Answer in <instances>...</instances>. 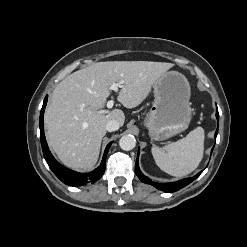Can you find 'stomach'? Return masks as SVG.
Listing matches in <instances>:
<instances>
[{"label": "stomach", "mask_w": 247, "mask_h": 247, "mask_svg": "<svg viewBox=\"0 0 247 247\" xmlns=\"http://www.w3.org/2000/svg\"><path fill=\"white\" fill-rule=\"evenodd\" d=\"M154 103L150 108L145 126L151 139L166 140L189 126L190 85L187 78L177 71H167L154 85Z\"/></svg>", "instance_id": "stomach-1"}]
</instances>
